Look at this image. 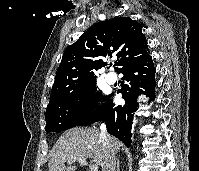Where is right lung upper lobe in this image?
Masks as SVG:
<instances>
[{
  "instance_id": "obj_1",
  "label": "right lung upper lobe",
  "mask_w": 199,
  "mask_h": 171,
  "mask_svg": "<svg viewBox=\"0 0 199 171\" xmlns=\"http://www.w3.org/2000/svg\"><path fill=\"white\" fill-rule=\"evenodd\" d=\"M112 56L118 58V72L149 56L140 23L129 17L102 21L67 47L56 72L48 106L96 82L94 71L105 66L104 61Z\"/></svg>"
}]
</instances>
